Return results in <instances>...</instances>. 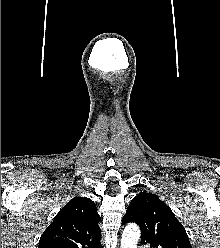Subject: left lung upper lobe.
Returning <instances> with one entry per match:
<instances>
[{
  "mask_svg": "<svg viewBox=\"0 0 220 248\" xmlns=\"http://www.w3.org/2000/svg\"><path fill=\"white\" fill-rule=\"evenodd\" d=\"M122 222L137 223L142 231V244L151 248H192L185 228L154 194L139 193L130 202Z\"/></svg>",
  "mask_w": 220,
  "mask_h": 248,
  "instance_id": "5c2ea615",
  "label": "left lung upper lobe"
}]
</instances>
